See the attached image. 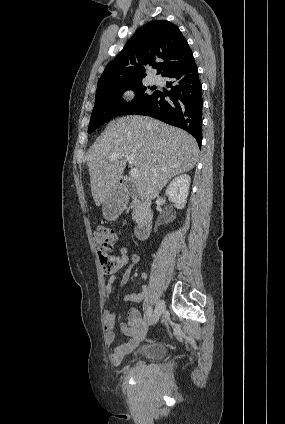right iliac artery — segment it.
<instances>
[{
	"label": "right iliac artery",
	"instance_id": "82829eb1",
	"mask_svg": "<svg viewBox=\"0 0 285 424\" xmlns=\"http://www.w3.org/2000/svg\"><path fill=\"white\" fill-rule=\"evenodd\" d=\"M151 314H152V308L150 307V308H149V311H148V315H149V317H151Z\"/></svg>",
	"mask_w": 285,
	"mask_h": 424
}]
</instances>
